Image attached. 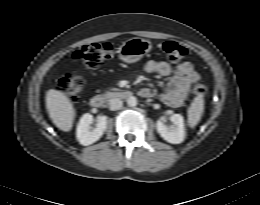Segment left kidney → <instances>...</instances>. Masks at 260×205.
<instances>
[{
  "label": "left kidney",
  "instance_id": "obj_1",
  "mask_svg": "<svg viewBox=\"0 0 260 205\" xmlns=\"http://www.w3.org/2000/svg\"><path fill=\"white\" fill-rule=\"evenodd\" d=\"M173 125L166 126L162 120H158L156 128L160 136L169 143L180 144L185 139L184 119L180 114H173L170 117Z\"/></svg>",
  "mask_w": 260,
  "mask_h": 205
}]
</instances>
